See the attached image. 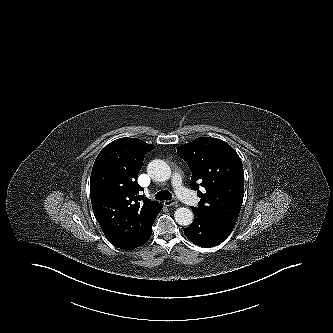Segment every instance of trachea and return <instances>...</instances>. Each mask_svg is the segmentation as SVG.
Returning a JSON list of instances; mask_svg holds the SVG:
<instances>
[{
  "label": "trachea",
  "instance_id": "3493384b",
  "mask_svg": "<svg viewBox=\"0 0 333 333\" xmlns=\"http://www.w3.org/2000/svg\"><path fill=\"white\" fill-rule=\"evenodd\" d=\"M156 200H171L172 194L168 190L159 191L156 196Z\"/></svg>",
  "mask_w": 333,
  "mask_h": 333
}]
</instances>
